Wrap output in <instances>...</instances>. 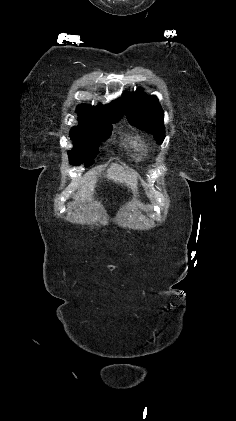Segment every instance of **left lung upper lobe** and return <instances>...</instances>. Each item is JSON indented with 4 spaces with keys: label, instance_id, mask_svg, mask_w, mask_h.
I'll list each match as a JSON object with an SVG mask.
<instances>
[{
    "label": "left lung upper lobe",
    "instance_id": "left-lung-upper-lobe-1",
    "mask_svg": "<svg viewBox=\"0 0 236 421\" xmlns=\"http://www.w3.org/2000/svg\"><path fill=\"white\" fill-rule=\"evenodd\" d=\"M124 97L130 124L152 133L156 142L161 144L165 138L164 114L156 96H147L139 89L132 94L124 92Z\"/></svg>",
    "mask_w": 236,
    "mask_h": 421
}]
</instances>
